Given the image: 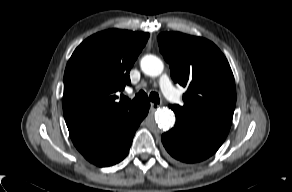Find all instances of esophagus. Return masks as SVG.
<instances>
[{"label": "esophagus", "mask_w": 292, "mask_h": 192, "mask_svg": "<svg viewBox=\"0 0 292 192\" xmlns=\"http://www.w3.org/2000/svg\"><path fill=\"white\" fill-rule=\"evenodd\" d=\"M150 106H151L152 111H155L156 109H158L160 107V105L157 103H151Z\"/></svg>", "instance_id": "1"}]
</instances>
